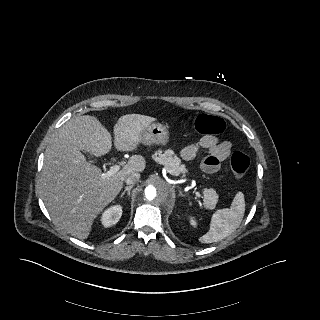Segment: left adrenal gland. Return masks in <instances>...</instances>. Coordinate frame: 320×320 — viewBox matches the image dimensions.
<instances>
[{
    "label": "left adrenal gland",
    "mask_w": 320,
    "mask_h": 320,
    "mask_svg": "<svg viewBox=\"0 0 320 320\" xmlns=\"http://www.w3.org/2000/svg\"><path fill=\"white\" fill-rule=\"evenodd\" d=\"M179 192H180V193H179L180 196H184L181 191H179Z\"/></svg>",
    "instance_id": "left-adrenal-gland-1"
}]
</instances>
